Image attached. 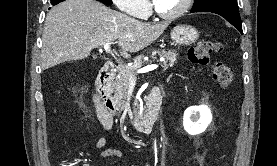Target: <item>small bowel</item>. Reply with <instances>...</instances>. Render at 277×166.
<instances>
[{
  "label": "small bowel",
  "instance_id": "obj_1",
  "mask_svg": "<svg viewBox=\"0 0 277 166\" xmlns=\"http://www.w3.org/2000/svg\"><path fill=\"white\" fill-rule=\"evenodd\" d=\"M95 104H96V100L94 99ZM97 115L99 118L100 123L102 124L103 128L105 130H111L113 127V122H109L107 120H105L104 118H102L98 112L97 109ZM106 145V138L105 137H101L99 138L93 145V147L95 149H101ZM121 152L116 149V148H109V149H105L104 151L101 152V157H112V156H120Z\"/></svg>",
  "mask_w": 277,
  "mask_h": 166
}]
</instances>
